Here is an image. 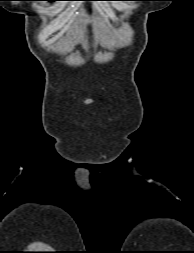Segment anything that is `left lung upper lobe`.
I'll list each match as a JSON object with an SVG mask.
<instances>
[{
	"mask_svg": "<svg viewBox=\"0 0 194 253\" xmlns=\"http://www.w3.org/2000/svg\"><path fill=\"white\" fill-rule=\"evenodd\" d=\"M122 1H138V0H122Z\"/></svg>",
	"mask_w": 194,
	"mask_h": 253,
	"instance_id": "5c2ea615",
	"label": "left lung upper lobe"
}]
</instances>
